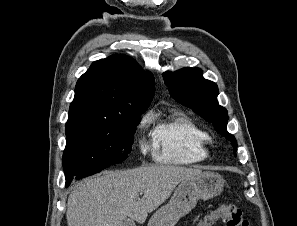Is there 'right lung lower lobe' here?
Wrapping results in <instances>:
<instances>
[{"label":"right lung lower lobe","instance_id":"1","mask_svg":"<svg viewBox=\"0 0 297 226\" xmlns=\"http://www.w3.org/2000/svg\"><path fill=\"white\" fill-rule=\"evenodd\" d=\"M97 172H99V170H92V171L84 172V173L79 174V175H77V176H75V177L72 176V177L66 179V185H65V186L68 187V186L70 185V183H71L74 179H81V178H83V177H86V176L95 174V173H97Z\"/></svg>","mask_w":297,"mask_h":226}]
</instances>
